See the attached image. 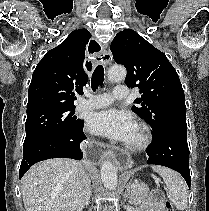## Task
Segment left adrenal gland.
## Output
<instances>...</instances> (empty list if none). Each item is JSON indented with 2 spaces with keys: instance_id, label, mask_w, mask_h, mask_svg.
I'll return each instance as SVG.
<instances>
[{
  "instance_id": "obj_1",
  "label": "left adrenal gland",
  "mask_w": 209,
  "mask_h": 211,
  "mask_svg": "<svg viewBox=\"0 0 209 211\" xmlns=\"http://www.w3.org/2000/svg\"><path fill=\"white\" fill-rule=\"evenodd\" d=\"M125 198H130V184L126 185Z\"/></svg>"
}]
</instances>
